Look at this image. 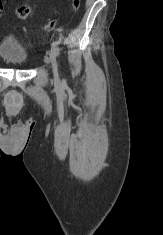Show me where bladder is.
<instances>
[{"instance_id":"31cf9c89","label":"bladder","mask_w":163,"mask_h":235,"mask_svg":"<svg viewBox=\"0 0 163 235\" xmlns=\"http://www.w3.org/2000/svg\"><path fill=\"white\" fill-rule=\"evenodd\" d=\"M0 57L11 65L20 66L27 61L28 53L15 35H7L0 41Z\"/></svg>"}]
</instances>
